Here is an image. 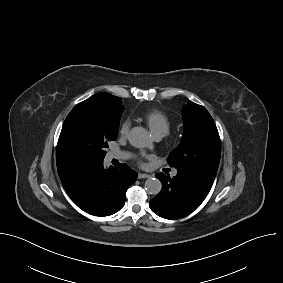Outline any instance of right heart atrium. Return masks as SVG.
<instances>
[{"label": "right heart atrium", "instance_id": "obj_1", "mask_svg": "<svg viewBox=\"0 0 283 283\" xmlns=\"http://www.w3.org/2000/svg\"><path fill=\"white\" fill-rule=\"evenodd\" d=\"M131 122L129 119H123L119 125V133L121 136H126L129 132Z\"/></svg>", "mask_w": 283, "mask_h": 283}]
</instances>
